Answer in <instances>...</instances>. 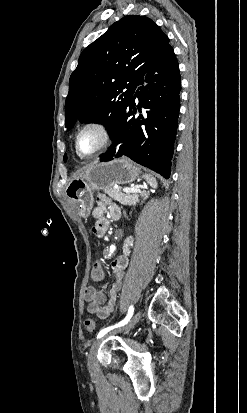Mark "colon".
I'll list each match as a JSON object with an SVG mask.
<instances>
[{
  "mask_svg": "<svg viewBox=\"0 0 247 413\" xmlns=\"http://www.w3.org/2000/svg\"><path fill=\"white\" fill-rule=\"evenodd\" d=\"M103 274L107 273L106 269L102 270ZM101 277V263L99 261H94L92 267L88 269V278L94 280ZM84 328L87 332H94L95 330V321L92 318H85Z\"/></svg>",
  "mask_w": 247,
  "mask_h": 413,
  "instance_id": "obj_1",
  "label": "colon"
}]
</instances>
